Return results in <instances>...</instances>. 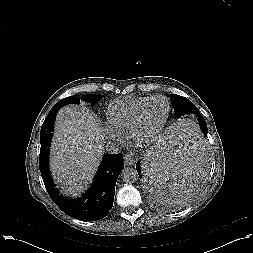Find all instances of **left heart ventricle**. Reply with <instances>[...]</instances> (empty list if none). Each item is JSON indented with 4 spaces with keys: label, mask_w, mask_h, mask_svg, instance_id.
Wrapping results in <instances>:
<instances>
[{
    "label": "left heart ventricle",
    "mask_w": 253,
    "mask_h": 253,
    "mask_svg": "<svg viewBox=\"0 0 253 253\" xmlns=\"http://www.w3.org/2000/svg\"><path fill=\"white\" fill-rule=\"evenodd\" d=\"M168 105L165 99H155L145 110L140 127V135L146 136L154 131L163 122Z\"/></svg>",
    "instance_id": "b2bd125f"
}]
</instances>
